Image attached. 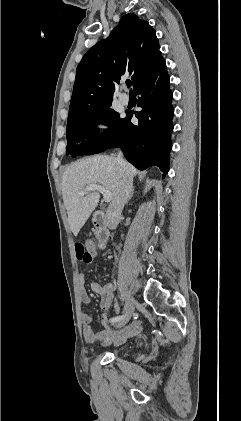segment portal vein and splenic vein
Masks as SVG:
<instances>
[{"label":"portal vein and splenic vein","instance_id":"1","mask_svg":"<svg viewBox=\"0 0 241 421\" xmlns=\"http://www.w3.org/2000/svg\"><path fill=\"white\" fill-rule=\"evenodd\" d=\"M91 191H99L103 194V200L105 202H110L112 200V193L110 191H107L103 186L99 184H92L87 186L83 191L80 192V195H84Z\"/></svg>","mask_w":241,"mask_h":421}]
</instances>
